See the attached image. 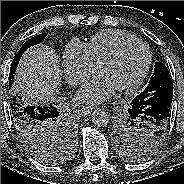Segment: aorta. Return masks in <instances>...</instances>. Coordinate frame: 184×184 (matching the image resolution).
<instances>
[{
    "mask_svg": "<svg viewBox=\"0 0 184 184\" xmlns=\"http://www.w3.org/2000/svg\"><path fill=\"white\" fill-rule=\"evenodd\" d=\"M91 121L97 127H104L109 123L110 115L105 109H97L93 111Z\"/></svg>",
    "mask_w": 184,
    "mask_h": 184,
    "instance_id": "1",
    "label": "aorta"
}]
</instances>
